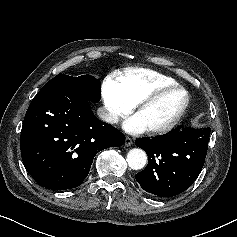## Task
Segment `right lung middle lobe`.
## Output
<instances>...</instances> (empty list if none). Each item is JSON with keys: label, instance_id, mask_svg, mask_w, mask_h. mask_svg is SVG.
I'll use <instances>...</instances> for the list:
<instances>
[{"label": "right lung middle lobe", "instance_id": "dd1d6c3e", "mask_svg": "<svg viewBox=\"0 0 237 237\" xmlns=\"http://www.w3.org/2000/svg\"><path fill=\"white\" fill-rule=\"evenodd\" d=\"M42 89L72 90L92 102H98L101 98L100 81L91 75L72 77L60 73L47 82Z\"/></svg>", "mask_w": 237, "mask_h": 237}]
</instances>
